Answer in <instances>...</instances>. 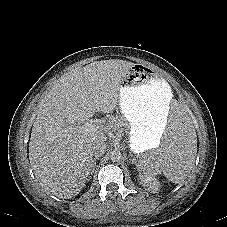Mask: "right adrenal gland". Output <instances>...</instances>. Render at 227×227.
I'll return each instance as SVG.
<instances>
[{
    "label": "right adrenal gland",
    "instance_id": "2a0ac1e0",
    "mask_svg": "<svg viewBox=\"0 0 227 227\" xmlns=\"http://www.w3.org/2000/svg\"><path fill=\"white\" fill-rule=\"evenodd\" d=\"M97 160H99V158H94L93 160H92V169H91V174H93L94 173V170H95V167H96V161Z\"/></svg>",
    "mask_w": 227,
    "mask_h": 227
}]
</instances>
